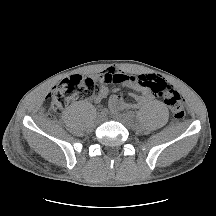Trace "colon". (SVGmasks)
<instances>
[{"mask_svg": "<svg viewBox=\"0 0 216 216\" xmlns=\"http://www.w3.org/2000/svg\"><path fill=\"white\" fill-rule=\"evenodd\" d=\"M146 85L151 92L161 98L169 107L174 118L182 121L185 117L184 100L182 96L163 79L149 80ZM101 86L92 78L81 75H71L62 80L48 96L50 114L61 112L69 104L77 100L96 98L100 93ZM123 100L126 95L121 96Z\"/></svg>", "mask_w": 216, "mask_h": 216, "instance_id": "1", "label": "colon"}]
</instances>
